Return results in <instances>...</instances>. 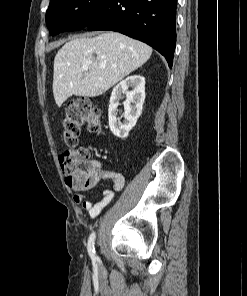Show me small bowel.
Wrapping results in <instances>:
<instances>
[{"label":"small bowel","instance_id":"small-bowel-1","mask_svg":"<svg viewBox=\"0 0 247 296\" xmlns=\"http://www.w3.org/2000/svg\"><path fill=\"white\" fill-rule=\"evenodd\" d=\"M101 177L106 180L113 181V188L115 191L123 189L125 184V178L123 174L115 171H106L99 167ZM114 192L109 189L102 191L101 199L93 202L91 200H85L83 194L75 193L73 200L76 204H81L82 208L89 214L91 218H95L113 199Z\"/></svg>","mask_w":247,"mask_h":296}]
</instances>
